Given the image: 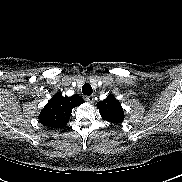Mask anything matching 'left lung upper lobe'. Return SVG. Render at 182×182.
<instances>
[{
  "mask_svg": "<svg viewBox=\"0 0 182 182\" xmlns=\"http://www.w3.org/2000/svg\"><path fill=\"white\" fill-rule=\"evenodd\" d=\"M102 118L111 123H121L124 120V111L120 102L110 94L106 99L97 103Z\"/></svg>",
  "mask_w": 182,
  "mask_h": 182,
  "instance_id": "1",
  "label": "left lung upper lobe"
}]
</instances>
